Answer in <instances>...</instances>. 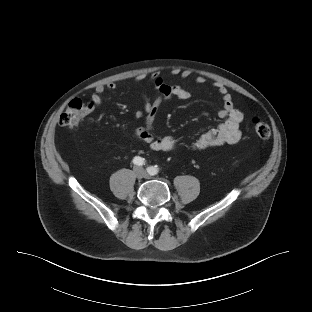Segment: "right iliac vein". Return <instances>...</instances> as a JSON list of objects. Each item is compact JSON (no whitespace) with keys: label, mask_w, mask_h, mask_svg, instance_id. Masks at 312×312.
Segmentation results:
<instances>
[{"label":"right iliac vein","mask_w":312,"mask_h":312,"mask_svg":"<svg viewBox=\"0 0 312 312\" xmlns=\"http://www.w3.org/2000/svg\"><path fill=\"white\" fill-rule=\"evenodd\" d=\"M134 173H135V175L137 176V177H142V175H143V170L141 169V168H136L135 169V171H134Z\"/></svg>","instance_id":"right-iliac-vein-1"}]
</instances>
